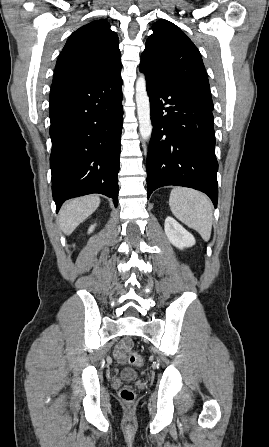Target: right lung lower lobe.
<instances>
[{"instance_id": "98d812e1", "label": "right lung lower lobe", "mask_w": 269, "mask_h": 447, "mask_svg": "<svg viewBox=\"0 0 269 447\" xmlns=\"http://www.w3.org/2000/svg\"><path fill=\"white\" fill-rule=\"evenodd\" d=\"M121 86L119 72L100 82L51 88L50 167L57 212L65 200L91 193L118 205Z\"/></svg>"}]
</instances>
